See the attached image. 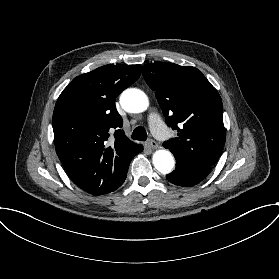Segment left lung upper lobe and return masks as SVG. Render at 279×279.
I'll return each mask as SVG.
<instances>
[{"instance_id": "obj_1", "label": "left lung upper lobe", "mask_w": 279, "mask_h": 279, "mask_svg": "<svg viewBox=\"0 0 279 279\" xmlns=\"http://www.w3.org/2000/svg\"><path fill=\"white\" fill-rule=\"evenodd\" d=\"M143 76L156 92L166 123L178 132L163 146L177 159L213 167L225 144L223 105L217 90L192 66L148 63Z\"/></svg>"}]
</instances>
